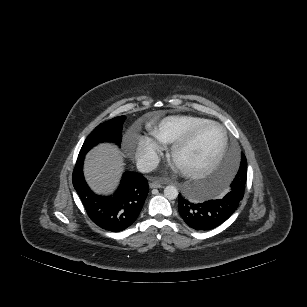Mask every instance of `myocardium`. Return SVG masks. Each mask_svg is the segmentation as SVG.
I'll return each instance as SVG.
<instances>
[{
	"instance_id": "f54148a6",
	"label": "myocardium",
	"mask_w": 307,
	"mask_h": 307,
	"mask_svg": "<svg viewBox=\"0 0 307 307\" xmlns=\"http://www.w3.org/2000/svg\"><path fill=\"white\" fill-rule=\"evenodd\" d=\"M209 126H216L220 129L221 133H222V143L221 146L219 148V150L217 151V153L215 154V156L213 157V159L205 166L201 167V168H197V169H181L178 167V169L181 171V173L189 178H201L204 176H207L208 174H210L218 165V163L220 162V160L222 159L223 155L225 154V151L227 149L228 146V134L226 129L223 127V125H221L220 123L216 122V121H207L204 122L200 125H197L195 127H193L187 134H185L181 139H179L178 141H176L173 146L171 147L170 150V158L171 161L175 164V159L177 157V155L186 147H188L193 140L196 138V136L206 127ZM176 165V164H175Z\"/></svg>"
}]
</instances>
